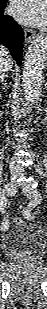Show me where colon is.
I'll use <instances>...</instances> for the list:
<instances>
[{"label":"colon","instance_id":"5ec220e1","mask_svg":"<svg viewBox=\"0 0 47 309\" xmlns=\"http://www.w3.org/2000/svg\"><path fill=\"white\" fill-rule=\"evenodd\" d=\"M23 214H24V217H26V218H31L32 217V212L29 209H25ZM15 221L17 223H19L21 221V219L20 218H16Z\"/></svg>","mask_w":47,"mask_h":309}]
</instances>
